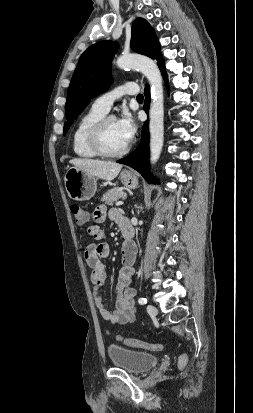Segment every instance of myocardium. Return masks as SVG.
Wrapping results in <instances>:
<instances>
[{
	"label": "myocardium",
	"instance_id": "1",
	"mask_svg": "<svg viewBox=\"0 0 253 413\" xmlns=\"http://www.w3.org/2000/svg\"><path fill=\"white\" fill-rule=\"evenodd\" d=\"M111 119H115V117L112 115H104L91 126L88 132V143L99 156L115 158L125 155L129 151L130 145L127 143L125 147L118 151H109L106 149L103 142V130L106 123Z\"/></svg>",
	"mask_w": 253,
	"mask_h": 413
}]
</instances>
